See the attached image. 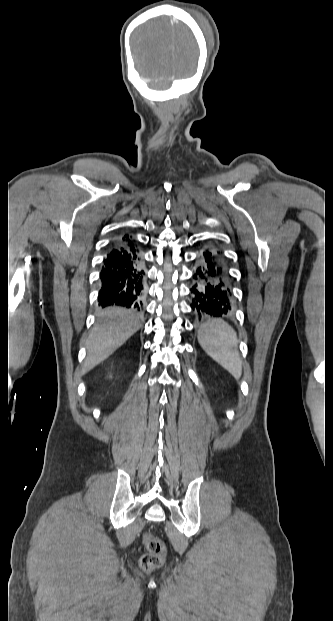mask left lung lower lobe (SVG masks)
<instances>
[{"label": "left lung lower lobe", "instance_id": "0a47b994", "mask_svg": "<svg viewBox=\"0 0 333 621\" xmlns=\"http://www.w3.org/2000/svg\"><path fill=\"white\" fill-rule=\"evenodd\" d=\"M191 287L192 309L199 318L224 316L232 311V294L223 252L214 246L202 250L195 262Z\"/></svg>", "mask_w": 333, "mask_h": 621}]
</instances>
